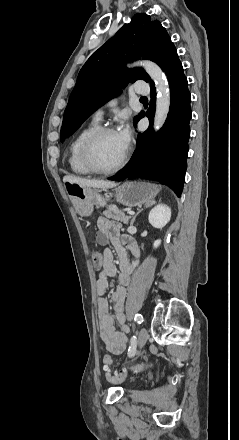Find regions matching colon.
Instances as JSON below:
<instances>
[{
	"instance_id": "1",
	"label": "colon",
	"mask_w": 239,
	"mask_h": 440,
	"mask_svg": "<svg viewBox=\"0 0 239 440\" xmlns=\"http://www.w3.org/2000/svg\"><path fill=\"white\" fill-rule=\"evenodd\" d=\"M92 262H93V265L96 269L101 268V266L103 264V257L99 251H94L92 253ZM112 362H113V359L110 355L104 356L103 363H104L105 375L108 379L113 380V381H119V380L124 379L129 370L135 371V372H142V371L146 370L148 367L146 364H143V363H133V364H131L129 369L124 370L122 373L116 374V373H112V371H111Z\"/></svg>"
}]
</instances>
